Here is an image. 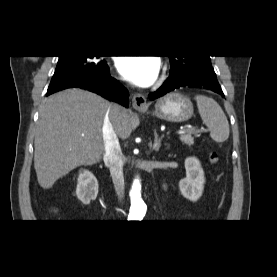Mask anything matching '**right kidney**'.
Instances as JSON below:
<instances>
[{
  "mask_svg": "<svg viewBox=\"0 0 277 277\" xmlns=\"http://www.w3.org/2000/svg\"><path fill=\"white\" fill-rule=\"evenodd\" d=\"M98 181L92 172L82 169L77 180L76 195L85 205L95 200L98 194Z\"/></svg>",
  "mask_w": 277,
  "mask_h": 277,
  "instance_id": "obj_1",
  "label": "right kidney"
}]
</instances>
